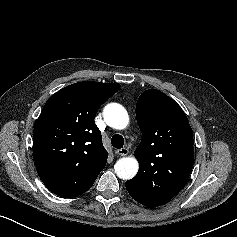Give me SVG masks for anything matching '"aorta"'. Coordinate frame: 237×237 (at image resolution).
I'll list each match as a JSON object with an SVG mask.
<instances>
[{
	"label": "aorta",
	"mask_w": 237,
	"mask_h": 237,
	"mask_svg": "<svg viewBox=\"0 0 237 237\" xmlns=\"http://www.w3.org/2000/svg\"><path fill=\"white\" fill-rule=\"evenodd\" d=\"M103 116L106 123L115 129H124L129 123L126 109L118 103H110L105 106ZM138 161L133 157L119 159L115 166L116 175L123 179H132L138 172Z\"/></svg>",
	"instance_id": "obj_1"
}]
</instances>
